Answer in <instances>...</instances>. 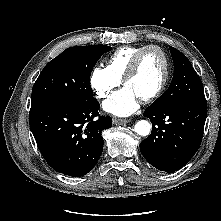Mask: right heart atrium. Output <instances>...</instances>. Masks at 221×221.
I'll return each instance as SVG.
<instances>
[{
  "mask_svg": "<svg viewBox=\"0 0 221 221\" xmlns=\"http://www.w3.org/2000/svg\"><path fill=\"white\" fill-rule=\"evenodd\" d=\"M89 84L95 95L104 99L112 93L114 88L119 86L120 79L115 77L107 67L97 66L90 74Z\"/></svg>",
  "mask_w": 221,
  "mask_h": 221,
  "instance_id": "right-heart-atrium-1",
  "label": "right heart atrium"
}]
</instances>
